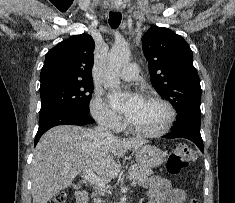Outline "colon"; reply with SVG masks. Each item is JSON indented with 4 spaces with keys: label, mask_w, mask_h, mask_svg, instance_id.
<instances>
[{
    "label": "colon",
    "mask_w": 235,
    "mask_h": 203,
    "mask_svg": "<svg viewBox=\"0 0 235 203\" xmlns=\"http://www.w3.org/2000/svg\"><path fill=\"white\" fill-rule=\"evenodd\" d=\"M196 158L195 151L185 145L178 144L171 150L167 159V170L172 174H179L183 169L187 168L188 165ZM67 194L62 191L53 197L48 203H66ZM188 203H197L196 200L191 199Z\"/></svg>",
    "instance_id": "1"
}]
</instances>
